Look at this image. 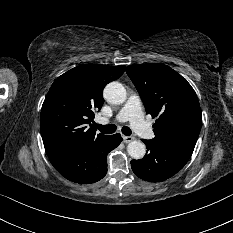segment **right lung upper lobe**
Segmentation results:
<instances>
[{
  "instance_id": "1",
  "label": "right lung upper lobe",
  "mask_w": 233,
  "mask_h": 233,
  "mask_svg": "<svg viewBox=\"0 0 233 233\" xmlns=\"http://www.w3.org/2000/svg\"><path fill=\"white\" fill-rule=\"evenodd\" d=\"M124 69V65L86 64L54 81L41 110L40 129L48 156L105 136L97 134L90 122L103 105L104 87Z\"/></svg>"
}]
</instances>
